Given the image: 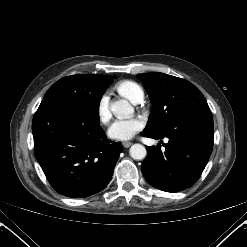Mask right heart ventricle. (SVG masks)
Segmentation results:
<instances>
[{
  "mask_svg": "<svg viewBox=\"0 0 247 247\" xmlns=\"http://www.w3.org/2000/svg\"><path fill=\"white\" fill-rule=\"evenodd\" d=\"M116 90L120 95L127 98L133 103H136L140 99H143L144 93L141 86L131 80H124L116 85Z\"/></svg>",
  "mask_w": 247,
  "mask_h": 247,
  "instance_id": "obj_1",
  "label": "right heart ventricle"
}]
</instances>
